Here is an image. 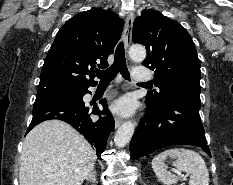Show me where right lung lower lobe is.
Here are the masks:
<instances>
[{
	"label": "right lung lower lobe",
	"instance_id": "obj_1",
	"mask_svg": "<svg viewBox=\"0 0 233 185\" xmlns=\"http://www.w3.org/2000/svg\"><path fill=\"white\" fill-rule=\"evenodd\" d=\"M88 87L76 89L75 94L45 92L36 95L33 107V118L26 133L42 121L49 119L63 120L72 125L78 132L94 145L96 154H100L106 147V142L114 129V119L107 110L105 100H101L106 117L93 121L91 115H101L96 105H86L83 96L89 93Z\"/></svg>",
	"mask_w": 233,
	"mask_h": 185
}]
</instances>
